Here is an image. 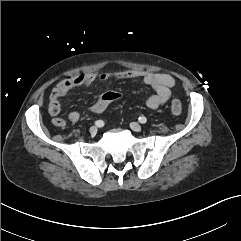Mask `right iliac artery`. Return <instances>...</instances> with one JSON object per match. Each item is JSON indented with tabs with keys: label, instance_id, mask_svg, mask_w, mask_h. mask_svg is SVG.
Masks as SVG:
<instances>
[{
	"label": "right iliac artery",
	"instance_id": "obj_1",
	"mask_svg": "<svg viewBox=\"0 0 241 241\" xmlns=\"http://www.w3.org/2000/svg\"><path fill=\"white\" fill-rule=\"evenodd\" d=\"M95 125L97 127H103L104 126V122L102 120H97V121H95Z\"/></svg>",
	"mask_w": 241,
	"mask_h": 241
}]
</instances>
